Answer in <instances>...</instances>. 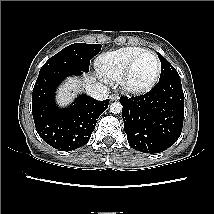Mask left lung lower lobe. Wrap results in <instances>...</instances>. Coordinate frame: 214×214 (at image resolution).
<instances>
[{"label":"left lung lower lobe","mask_w":214,"mask_h":214,"mask_svg":"<svg viewBox=\"0 0 214 214\" xmlns=\"http://www.w3.org/2000/svg\"><path fill=\"white\" fill-rule=\"evenodd\" d=\"M124 129L130 146L143 153H160L179 138L184 118L180 77L159 80L148 93L121 97Z\"/></svg>","instance_id":"1"}]
</instances>
